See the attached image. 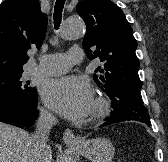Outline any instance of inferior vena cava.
Returning <instances> with one entry per match:
<instances>
[{
    "label": "inferior vena cava",
    "mask_w": 168,
    "mask_h": 162,
    "mask_svg": "<svg viewBox=\"0 0 168 162\" xmlns=\"http://www.w3.org/2000/svg\"><path fill=\"white\" fill-rule=\"evenodd\" d=\"M57 119L48 111L41 110L36 123V131L29 138L27 162H45L47 154L51 151L47 144L48 136Z\"/></svg>",
    "instance_id": "inferior-vena-cava-1"
}]
</instances>
